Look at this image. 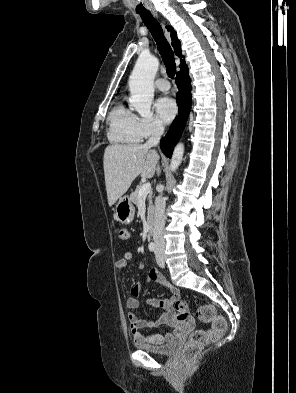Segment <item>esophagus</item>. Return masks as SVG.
Returning a JSON list of instances; mask_svg holds the SVG:
<instances>
[{
    "mask_svg": "<svg viewBox=\"0 0 296 393\" xmlns=\"http://www.w3.org/2000/svg\"><path fill=\"white\" fill-rule=\"evenodd\" d=\"M152 13H153L155 16H158V14H157V12H156L155 10H152Z\"/></svg>",
    "mask_w": 296,
    "mask_h": 393,
    "instance_id": "obj_1",
    "label": "esophagus"
}]
</instances>
